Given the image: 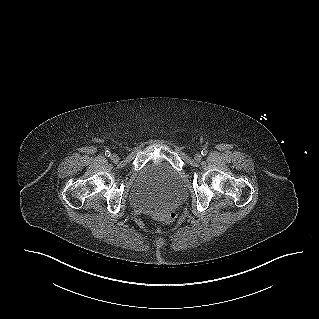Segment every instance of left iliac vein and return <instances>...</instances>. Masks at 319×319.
I'll return each instance as SVG.
<instances>
[{"instance_id": "left-iliac-vein-1", "label": "left iliac vein", "mask_w": 319, "mask_h": 319, "mask_svg": "<svg viewBox=\"0 0 319 319\" xmlns=\"http://www.w3.org/2000/svg\"><path fill=\"white\" fill-rule=\"evenodd\" d=\"M201 159H202L201 154H200V153H196L195 156H194V160H195L196 162H200Z\"/></svg>"}]
</instances>
